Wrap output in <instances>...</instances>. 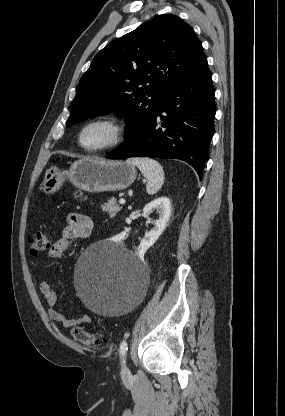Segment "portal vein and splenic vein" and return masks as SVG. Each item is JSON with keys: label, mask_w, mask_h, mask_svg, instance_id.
<instances>
[{"label": "portal vein and splenic vein", "mask_w": 285, "mask_h": 416, "mask_svg": "<svg viewBox=\"0 0 285 416\" xmlns=\"http://www.w3.org/2000/svg\"><path fill=\"white\" fill-rule=\"evenodd\" d=\"M119 204H125V200H123V198H121V200H119Z\"/></svg>", "instance_id": "1"}]
</instances>
